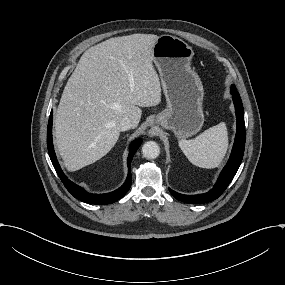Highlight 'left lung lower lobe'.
<instances>
[{
    "mask_svg": "<svg viewBox=\"0 0 285 285\" xmlns=\"http://www.w3.org/2000/svg\"><path fill=\"white\" fill-rule=\"evenodd\" d=\"M231 94L236 109L237 119V132L235 137L234 146L232 149L231 156L222 170L219 179L215 186L205 194L199 195H184L169 189L171 194L176 198L185 203L191 204H202L208 203L217 199L228 187L232 179L234 178L243 158L244 147H245V124H244V109L239 93L236 87L232 85Z\"/></svg>",
    "mask_w": 285,
    "mask_h": 285,
    "instance_id": "obj_1",
    "label": "left lung lower lobe"
}]
</instances>
